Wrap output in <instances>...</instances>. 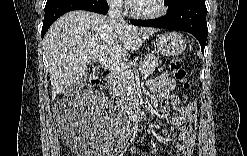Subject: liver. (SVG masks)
<instances>
[{
  "label": "liver",
  "instance_id": "1",
  "mask_svg": "<svg viewBox=\"0 0 247 156\" xmlns=\"http://www.w3.org/2000/svg\"><path fill=\"white\" fill-rule=\"evenodd\" d=\"M157 31L84 10L61 16L50 26L43 41L52 98L88 77L92 63L100 58L118 64L126 61Z\"/></svg>",
  "mask_w": 247,
  "mask_h": 156
}]
</instances>
